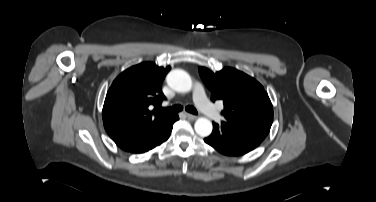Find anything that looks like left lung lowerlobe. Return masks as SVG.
<instances>
[{
    "instance_id": "left-lung-lower-lobe-1",
    "label": "left lung lower lobe",
    "mask_w": 376,
    "mask_h": 202,
    "mask_svg": "<svg viewBox=\"0 0 376 202\" xmlns=\"http://www.w3.org/2000/svg\"><path fill=\"white\" fill-rule=\"evenodd\" d=\"M265 138L231 127L213 123V131L204 141L224 155H243L259 146Z\"/></svg>"
}]
</instances>
